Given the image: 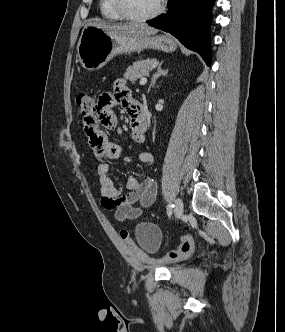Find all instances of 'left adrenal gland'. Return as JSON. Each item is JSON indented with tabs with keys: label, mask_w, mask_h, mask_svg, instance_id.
I'll return each instance as SVG.
<instances>
[{
	"label": "left adrenal gland",
	"mask_w": 285,
	"mask_h": 332,
	"mask_svg": "<svg viewBox=\"0 0 285 332\" xmlns=\"http://www.w3.org/2000/svg\"><path fill=\"white\" fill-rule=\"evenodd\" d=\"M162 64H163V61H161L160 64L158 65L157 71L154 73V75L151 79L148 91H150V89L156 84V80L158 79V77H160L162 75L164 76L167 74L168 70H163Z\"/></svg>",
	"instance_id": "1"
}]
</instances>
